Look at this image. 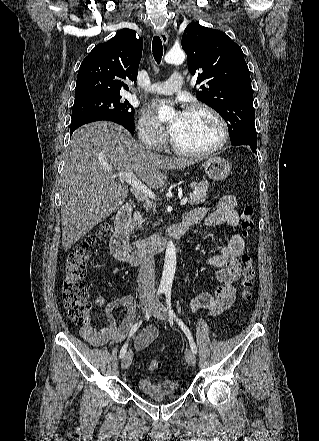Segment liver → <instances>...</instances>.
Wrapping results in <instances>:
<instances>
[{"label":"liver","mask_w":319,"mask_h":441,"mask_svg":"<svg viewBox=\"0 0 319 441\" xmlns=\"http://www.w3.org/2000/svg\"><path fill=\"white\" fill-rule=\"evenodd\" d=\"M195 162L146 151L116 123L97 121L78 128L67 147L60 179L64 250L125 202L129 190L115 180V171L135 173L143 184L159 189L166 183L167 170Z\"/></svg>","instance_id":"obj_1"}]
</instances>
